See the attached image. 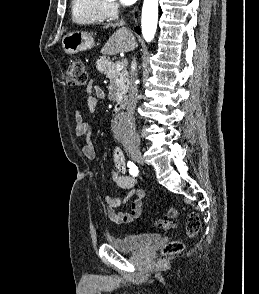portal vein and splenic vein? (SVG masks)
<instances>
[{
    "instance_id": "obj_1",
    "label": "portal vein and splenic vein",
    "mask_w": 259,
    "mask_h": 294,
    "mask_svg": "<svg viewBox=\"0 0 259 294\" xmlns=\"http://www.w3.org/2000/svg\"><path fill=\"white\" fill-rule=\"evenodd\" d=\"M124 68V64H123V62H117L116 63V69L118 70V71H120V70H122Z\"/></svg>"
}]
</instances>
